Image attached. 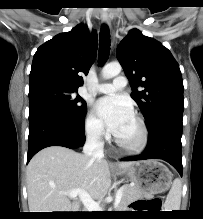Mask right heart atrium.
Listing matches in <instances>:
<instances>
[{"label": "right heart atrium", "instance_id": "d8ad5b80", "mask_svg": "<svg viewBox=\"0 0 203 219\" xmlns=\"http://www.w3.org/2000/svg\"><path fill=\"white\" fill-rule=\"evenodd\" d=\"M84 128L87 138L92 142L100 143L107 136L103 123L93 112L88 113Z\"/></svg>", "mask_w": 203, "mask_h": 219}]
</instances>
